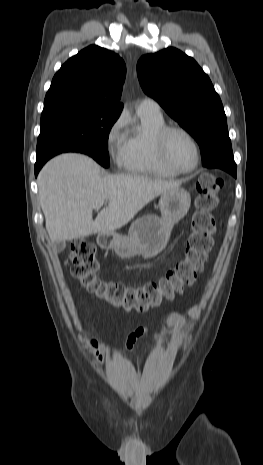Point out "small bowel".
<instances>
[{
	"label": "small bowel",
	"mask_w": 263,
	"mask_h": 465,
	"mask_svg": "<svg viewBox=\"0 0 263 465\" xmlns=\"http://www.w3.org/2000/svg\"><path fill=\"white\" fill-rule=\"evenodd\" d=\"M189 314L191 316H193V317H197L199 315V308L197 306H194V307L190 308L189 309ZM170 322L173 323L174 319L173 318L170 319ZM149 331H150L149 328L145 327V326H140V327L136 328L134 331H132L126 338V343H125L126 352L128 354H130L132 352L135 344L137 343V341L142 336L147 334ZM154 336L156 338L157 344L160 345L162 343V341H163L161 336L158 333H154ZM93 345L97 346L96 342H94ZM97 354H98L99 360L102 361V360L108 358L111 355V350L107 345H104L97 351Z\"/></svg>",
	"instance_id": "small-bowel-1"
}]
</instances>
